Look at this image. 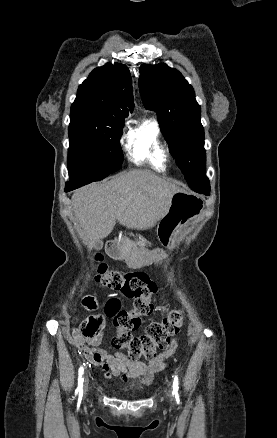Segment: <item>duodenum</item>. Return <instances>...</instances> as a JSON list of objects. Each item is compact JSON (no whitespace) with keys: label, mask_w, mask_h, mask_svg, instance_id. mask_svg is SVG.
<instances>
[{"label":"duodenum","mask_w":277,"mask_h":438,"mask_svg":"<svg viewBox=\"0 0 277 438\" xmlns=\"http://www.w3.org/2000/svg\"><path fill=\"white\" fill-rule=\"evenodd\" d=\"M106 251L112 257L121 258L124 257L126 253V247L117 240H109L106 243Z\"/></svg>","instance_id":"1"}]
</instances>
